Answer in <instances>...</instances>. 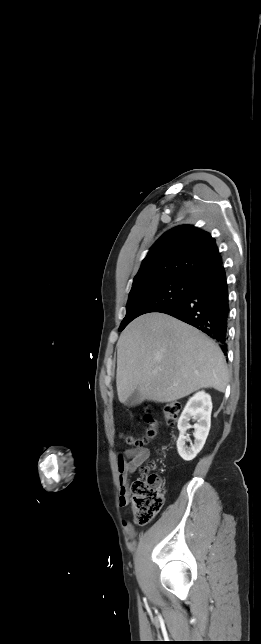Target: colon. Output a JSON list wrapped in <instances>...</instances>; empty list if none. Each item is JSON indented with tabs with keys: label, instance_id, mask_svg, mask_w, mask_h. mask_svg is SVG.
Here are the masks:
<instances>
[{
	"label": "colon",
	"instance_id": "5ec220e1",
	"mask_svg": "<svg viewBox=\"0 0 261 644\" xmlns=\"http://www.w3.org/2000/svg\"><path fill=\"white\" fill-rule=\"evenodd\" d=\"M181 405L178 402H170L164 406L163 414L166 422L174 424L180 414ZM147 428L142 438L126 436L127 444L141 448L148 441L154 439L158 434V420L150 414L145 415ZM154 462L148 461L141 468L142 477L135 480L131 485L132 513L135 522L146 524L150 522L161 510L164 503V489L162 478L152 472Z\"/></svg>",
	"mask_w": 261,
	"mask_h": 644
}]
</instances>
